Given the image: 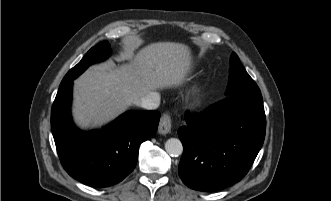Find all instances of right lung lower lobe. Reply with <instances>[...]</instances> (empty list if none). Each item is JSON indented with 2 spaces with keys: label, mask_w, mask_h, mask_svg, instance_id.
Returning <instances> with one entry per match:
<instances>
[{
  "label": "right lung lower lobe",
  "mask_w": 331,
  "mask_h": 201,
  "mask_svg": "<svg viewBox=\"0 0 331 201\" xmlns=\"http://www.w3.org/2000/svg\"><path fill=\"white\" fill-rule=\"evenodd\" d=\"M72 81L59 87L51 111L57 153L67 173L94 187L122 181L134 169L140 144L157 131L158 111H129L101 130H78L71 119Z\"/></svg>",
  "instance_id": "98d812e1"
}]
</instances>
